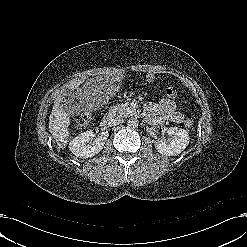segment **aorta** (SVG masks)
<instances>
[{"label":"aorta","instance_id":"aorta-1","mask_svg":"<svg viewBox=\"0 0 247 247\" xmlns=\"http://www.w3.org/2000/svg\"><path fill=\"white\" fill-rule=\"evenodd\" d=\"M127 125H128V127H130V128H137L138 125H139V121H138L137 118L131 117V118H129V119L127 120Z\"/></svg>","mask_w":247,"mask_h":247}]
</instances>
